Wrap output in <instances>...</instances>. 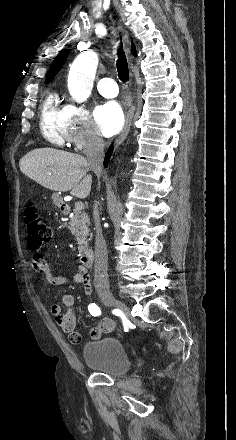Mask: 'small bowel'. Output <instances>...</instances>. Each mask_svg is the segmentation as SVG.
Returning <instances> with one entry per match:
<instances>
[{
	"label": "small bowel",
	"mask_w": 236,
	"mask_h": 440,
	"mask_svg": "<svg viewBox=\"0 0 236 440\" xmlns=\"http://www.w3.org/2000/svg\"><path fill=\"white\" fill-rule=\"evenodd\" d=\"M32 271L36 274H41L48 287H56L63 285L68 277L65 275H55L51 266L45 260L43 254L39 250H35L32 253L31 260ZM73 280L76 283L82 284L86 295L89 297L92 292L91 280L88 272L79 267L73 276ZM75 297L72 294H65L62 297V306L66 309L62 311V306L59 304H52L50 306V312L54 317L57 325L68 336V339L73 344H79L81 341V335L76 331V316L74 313ZM115 322L112 319L105 318L100 321L99 324H95L94 327L89 328V335L96 339L99 338L102 333H113Z\"/></svg>",
	"instance_id": "obj_1"
}]
</instances>
